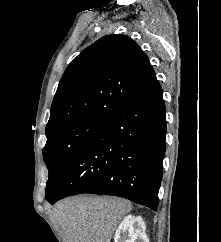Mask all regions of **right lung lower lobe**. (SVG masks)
Segmentation results:
<instances>
[{"instance_id":"98d812e1","label":"right lung lower lobe","mask_w":221,"mask_h":242,"mask_svg":"<svg viewBox=\"0 0 221 242\" xmlns=\"http://www.w3.org/2000/svg\"><path fill=\"white\" fill-rule=\"evenodd\" d=\"M163 93L158 81L109 117L73 155L47 197L50 204L93 193L157 210L166 148Z\"/></svg>"}]
</instances>
